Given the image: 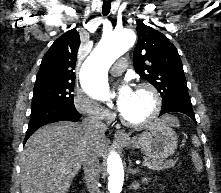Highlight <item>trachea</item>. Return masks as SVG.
<instances>
[{
	"label": "trachea",
	"mask_w": 221,
	"mask_h": 193,
	"mask_svg": "<svg viewBox=\"0 0 221 193\" xmlns=\"http://www.w3.org/2000/svg\"><path fill=\"white\" fill-rule=\"evenodd\" d=\"M111 9V0H104L103 6H102V14L104 16H107Z\"/></svg>",
	"instance_id": "1"
}]
</instances>
